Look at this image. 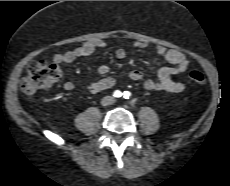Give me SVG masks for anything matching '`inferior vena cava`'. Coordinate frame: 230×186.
<instances>
[{"mask_svg":"<svg viewBox=\"0 0 230 186\" xmlns=\"http://www.w3.org/2000/svg\"><path fill=\"white\" fill-rule=\"evenodd\" d=\"M115 102V99L112 97V96H105L102 101H101V104L103 106H108V105H111Z\"/></svg>","mask_w":230,"mask_h":186,"instance_id":"602c4592","label":"inferior vena cava"}]
</instances>
